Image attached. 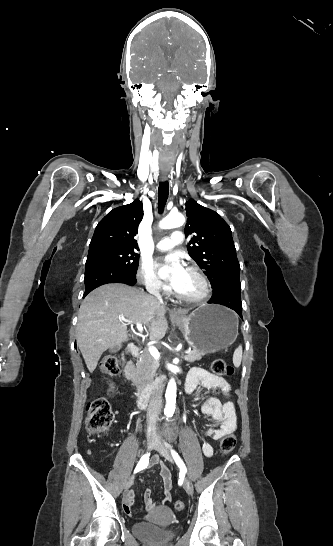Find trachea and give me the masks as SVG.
I'll use <instances>...</instances> for the list:
<instances>
[{
	"mask_svg": "<svg viewBox=\"0 0 333 546\" xmlns=\"http://www.w3.org/2000/svg\"><path fill=\"white\" fill-rule=\"evenodd\" d=\"M169 194L168 181L161 182L158 188V210L162 214Z\"/></svg>",
	"mask_w": 333,
	"mask_h": 546,
	"instance_id": "3493384b",
	"label": "trachea"
}]
</instances>
